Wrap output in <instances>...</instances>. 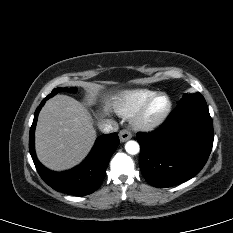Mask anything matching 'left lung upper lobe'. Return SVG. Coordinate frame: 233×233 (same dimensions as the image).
Returning <instances> with one entry per match:
<instances>
[{
	"label": "left lung upper lobe",
	"instance_id": "obj_1",
	"mask_svg": "<svg viewBox=\"0 0 233 233\" xmlns=\"http://www.w3.org/2000/svg\"><path fill=\"white\" fill-rule=\"evenodd\" d=\"M188 99H201V100H204V97L199 92H197L195 94H185L179 103L184 102V101H186Z\"/></svg>",
	"mask_w": 233,
	"mask_h": 233
}]
</instances>
